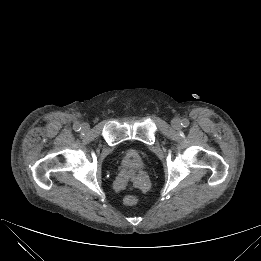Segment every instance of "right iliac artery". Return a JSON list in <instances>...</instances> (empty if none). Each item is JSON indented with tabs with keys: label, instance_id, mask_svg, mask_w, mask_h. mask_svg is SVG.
I'll use <instances>...</instances> for the list:
<instances>
[{
	"label": "right iliac artery",
	"instance_id": "obj_1",
	"mask_svg": "<svg viewBox=\"0 0 261 261\" xmlns=\"http://www.w3.org/2000/svg\"><path fill=\"white\" fill-rule=\"evenodd\" d=\"M75 131H80L81 130V125L80 124H75L74 126Z\"/></svg>",
	"mask_w": 261,
	"mask_h": 261
}]
</instances>
